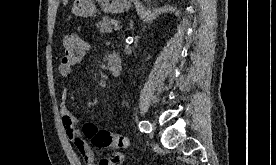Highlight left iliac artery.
Listing matches in <instances>:
<instances>
[{
  "mask_svg": "<svg viewBox=\"0 0 276 165\" xmlns=\"http://www.w3.org/2000/svg\"><path fill=\"white\" fill-rule=\"evenodd\" d=\"M141 132L150 133L152 131V125L149 121L143 120L139 123Z\"/></svg>",
  "mask_w": 276,
  "mask_h": 165,
  "instance_id": "obj_1",
  "label": "left iliac artery"
}]
</instances>
